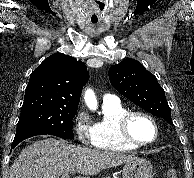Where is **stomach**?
<instances>
[{"label":"stomach","mask_w":194,"mask_h":178,"mask_svg":"<svg viewBox=\"0 0 194 178\" xmlns=\"http://www.w3.org/2000/svg\"><path fill=\"white\" fill-rule=\"evenodd\" d=\"M123 178H153V168L146 159H134L125 163L122 170Z\"/></svg>","instance_id":"0dacf381"}]
</instances>
